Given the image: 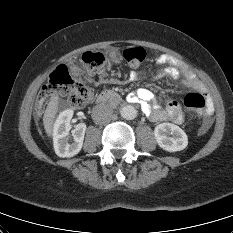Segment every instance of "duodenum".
I'll return each instance as SVG.
<instances>
[{
  "label": "duodenum",
  "instance_id": "410a0bca",
  "mask_svg": "<svg viewBox=\"0 0 233 233\" xmlns=\"http://www.w3.org/2000/svg\"><path fill=\"white\" fill-rule=\"evenodd\" d=\"M96 101L98 103L118 104L121 102V97L113 90H103L98 94Z\"/></svg>",
  "mask_w": 233,
  "mask_h": 233
}]
</instances>
